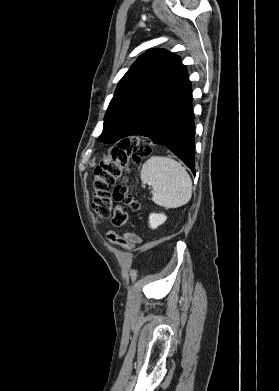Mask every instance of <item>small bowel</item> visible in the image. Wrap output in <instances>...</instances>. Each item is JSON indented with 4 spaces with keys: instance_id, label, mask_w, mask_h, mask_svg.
I'll return each instance as SVG.
<instances>
[{
    "instance_id": "1",
    "label": "small bowel",
    "mask_w": 279,
    "mask_h": 391,
    "mask_svg": "<svg viewBox=\"0 0 279 391\" xmlns=\"http://www.w3.org/2000/svg\"><path fill=\"white\" fill-rule=\"evenodd\" d=\"M121 236L126 238V239H129L130 241H132L135 244L140 242V237L138 235L134 234V233L127 232V233H124Z\"/></svg>"
}]
</instances>
